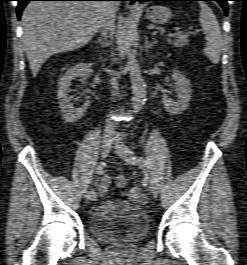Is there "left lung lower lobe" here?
I'll return each instance as SVG.
<instances>
[{
	"instance_id": "1",
	"label": "left lung lower lobe",
	"mask_w": 247,
	"mask_h": 265,
	"mask_svg": "<svg viewBox=\"0 0 247 265\" xmlns=\"http://www.w3.org/2000/svg\"><path fill=\"white\" fill-rule=\"evenodd\" d=\"M136 1H177V0H136ZM191 1H217L223 8L225 14H228V4L229 0H191Z\"/></svg>"
}]
</instances>
